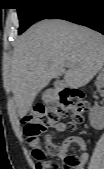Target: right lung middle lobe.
<instances>
[{"label":"right lung middle lobe","instance_id":"1","mask_svg":"<svg viewBox=\"0 0 104 169\" xmlns=\"http://www.w3.org/2000/svg\"><path fill=\"white\" fill-rule=\"evenodd\" d=\"M19 16V34L33 23L47 19L63 5L73 0H15Z\"/></svg>","mask_w":104,"mask_h":169}]
</instances>
